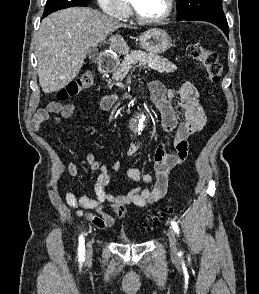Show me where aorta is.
Listing matches in <instances>:
<instances>
[{
  "instance_id": "obj_1",
  "label": "aorta",
  "mask_w": 259,
  "mask_h": 294,
  "mask_svg": "<svg viewBox=\"0 0 259 294\" xmlns=\"http://www.w3.org/2000/svg\"><path fill=\"white\" fill-rule=\"evenodd\" d=\"M147 119L144 115H142L138 122L134 125V131L138 134H141L143 131L146 130Z\"/></svg>"
}]
</instances>
